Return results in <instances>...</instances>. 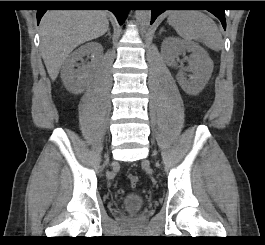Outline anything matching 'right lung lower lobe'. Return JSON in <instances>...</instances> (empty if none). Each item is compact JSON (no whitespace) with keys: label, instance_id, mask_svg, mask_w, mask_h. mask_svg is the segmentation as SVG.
<instances>
[{"label":"right lung lower lobe","instance_id":"obj_1","mask_svg":"<svg viewBox=\"0 0 265 245\" xmlns=\"http://www.w3.org/2000/svg\"><path fill=\"white\" fill-rule=\"evenodd\" d=\"M92 2H99V3H92ZM124 3L122 1H88L87 3H80L78 6L82 7H107L108 10L112 11L120 24H123L127 10L123 8ZM56 6H69L67 3H59ZM46 12V9H39L37 10V23L39 24L40 19Z\"/></svg>","mask_w":265,"mask_h":245}]
</instances>
